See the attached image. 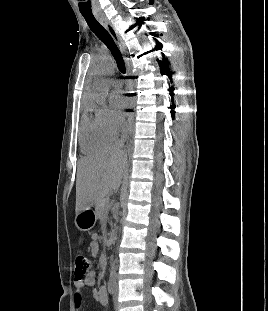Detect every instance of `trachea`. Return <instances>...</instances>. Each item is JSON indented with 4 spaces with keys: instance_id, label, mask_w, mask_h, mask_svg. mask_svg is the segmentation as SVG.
<instances>
[{
    "instance_id": "3493384b",
    "label": "trachea",
    "mask_w": 268,
    "mask_h": 311,
    "mask_svg": "<svg viewBox=\"0 0 268 311\" xmlns=\"http://www.w3.org/2000/svg\"><path fill=\"white\" fill-rule=\"evenodd\" d=\"M85 18L88 26L92 32L108 47L111 54L113 55L119 71L123 74L126 73L125 62L123 60L122 54L118 49L116 43L114 42L111 35L106 31V29L96 20L93 15L82 14Z\"/></svg>"
}]
</instances>
